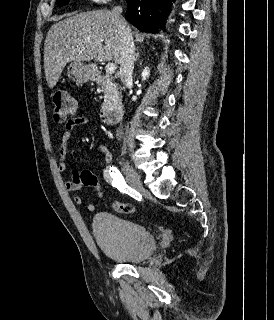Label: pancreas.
Returning a JSON list of instances; mask_svg holds the SVG:
<instances>
[{
  "label": "pancreas",
  "mask_w": 274,
  "mask_h": 320,
  "mask_svg": "<svg viewBox=\"0 0 274 320\" xmlns=\"http://www.w3.org/2000/svg\"><path fill=\"white\" fill-rule=\"evenodd\" d=\"M106 82L102 88L104 92V102L103 106H101L102 110H107V108H111V106H117L121 102V94L118 92V88H116L115 84H113L112 78L110 76H105Z\"/></svg>",
  "instance_id": "1"
}]
</instances>
